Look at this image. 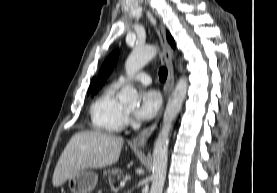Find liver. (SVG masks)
<instances>
[{
    "instance_id": "liver-1",
    "label": "liver",
    "mask_w": 277,
    "mask_h": 193,
    "mask_svg": "<svg viewBox=\"0 0 277 193\" xmlns=\"http://www.w3.org/2000/svg\"><path fill=\"white\" fill-rule=\"evenodd\" d=\"M123 139L100 131L74 134L54 170L53 186H61L75 174L89 168H103L118 161Z\"/></svg>"
}]
</instances>
